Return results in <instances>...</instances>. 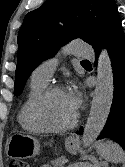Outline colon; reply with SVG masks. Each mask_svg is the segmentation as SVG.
Wrapping results in <instances>:
<instances>
[{
  "mask_svg": "<svg viewBox=\"0 0 125 167\" xmlns=\"http://www.w3.org/2000/svg\"><path fill=\"white\" fill-rule=\"evenodd\" d=\"M8 167H29V165L24 161L13 159L9 162Z\"/></svg>",
  "mask_w": 125,
  "mask_h": 167,
  "instance_id": "5ec220e1",
  "label": "colon"
}]
</instances>
